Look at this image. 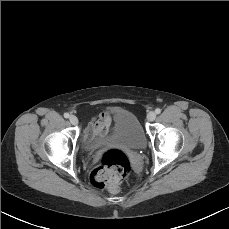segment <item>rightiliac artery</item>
I'll return each instance as SVG.
<instances>
[{
    "label": "right iliac artery",
    "mask_w": 229,
    "mask_h": 229,
    "mask_svg": "<svg viewBox=\"0 0 229 229\" xmlns=\"http://www.w3.org/2000/svg\"><path fill=\"white\" fill-rule=\"evenodd\" d=\"M69 116H70L69 113H64L65 118H69Z\"/></svg>",
    "instance_id": "82829eb1"
}]
</instances>
